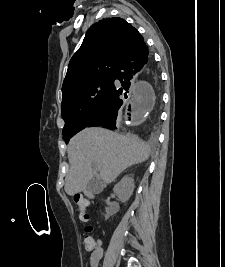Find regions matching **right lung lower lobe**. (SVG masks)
Returning <instances> with one entry per match:
<instances>
[{
    "instance_id": "right-lung-lower-lobe-1",
    "label": "right lung lower lobe",
    "mask_w": 225,
    "mask_h": 267,
    "mask_svg": "<svg viewBox=\"0 0 225 267\" xmlns=\"http://www.w3.org/2000/svg\"><path fill=\"white\" fill-rule=\"evenodd\" d=\"M139 72L146 74L154 84H158L159 76L145 42L137 44L122 56L114 73V80H119L122 87L114 84L108 99L86 127L103 126L116 129L118 110L125 105L124 97H127L130 87L135 84Z\"/></svg>"
}]
</instances>
